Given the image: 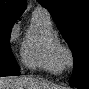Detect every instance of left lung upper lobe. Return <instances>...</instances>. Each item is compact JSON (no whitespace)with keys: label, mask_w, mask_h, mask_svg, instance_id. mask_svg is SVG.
I'll list each match as a JSON object with an SVG mask.
<instances>
[{"label":"left lung upper lobe","mask_w":89,"mask_h":89,"mask_svg":"<svg viewBox=\"0 0 89 89\" xmlns=\"http://www.w3.org/2000/svg\"><path fill=\"white\" fill-rule=\"evenodd\" d=\"M54 19L74 58L70 86L89 88V0H37Z\"/></svg>","instance_id":"1"}]
</instances>
